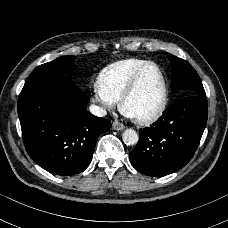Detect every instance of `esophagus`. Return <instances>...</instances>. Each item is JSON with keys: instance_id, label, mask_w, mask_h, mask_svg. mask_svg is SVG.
<instances>
[{"instance_id": "esophagus-1", "label": "esophagus", "mask_w": 228, "mask_h": 228, "mask_svg": "<svg viewBox=\"0 0 228 228\" xmlns=\"http://www.w3.org/2000/svg\"><path fill=\"white\" fill-rule=\"evenodd\" d=\"M114 130L120 131L124 129V125L120 122L114 121L112 124Z\"/></svg>"}]
</instances>
